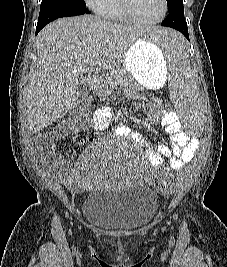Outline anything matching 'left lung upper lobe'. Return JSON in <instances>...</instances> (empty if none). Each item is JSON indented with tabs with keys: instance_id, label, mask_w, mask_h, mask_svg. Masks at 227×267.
<instances>
[{
	"instance_id": "1",
	"label": "left lung upper lobe",
	"mask_w": 227,
	"mask_h": 267,
	"mask_svg": "<svg viewBox=\"0 0 227 267\" xmlns=\"http://www.w3.org/2000/svg\"><path fill=\"white\" fill-rule=\"evenodd\" d=\"M168 11L183 7V0H167Z\"/></svg>"
}]
</instances>
